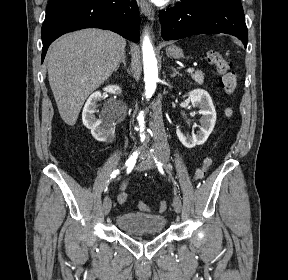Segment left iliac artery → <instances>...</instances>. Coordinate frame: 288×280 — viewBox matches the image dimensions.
<instances>
[{
  "instance_id": "left-iliac-artery-1",
  "label": "left iliac artery",
  "mask_w": 288,
  "mask_h": 280,
  "mask_svg": "<svg viewBox=\"0 0 288 280\" xmlns=\"http://www.w3.org/2000/svg\"><path fill=\"white\" fill-rule=\"evenodd\" d=\"M154 160H155L156 166L158 167L159 171L163 174L164 171H163V168H162V163L160 161H158L155 157H154ZM163 178L167 179L168 175L164 174ZM171 192H173V196H176L177 198H182L183 197V194L180 193V191H178V185L177 184H172L171 185Z\"/></svg>"
}]
</instances>
